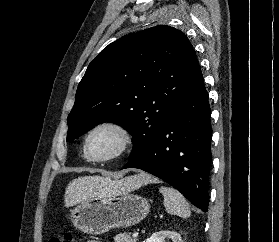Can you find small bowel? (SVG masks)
<instances>
[{
	"instance_id": "small-bowel-1",
	"label": "small bowel",
	"mask_w": 279,
	"mask_h": 242,
	"mask_svg": "<svg viewBox=\"0 0 279 242\" xmlns=\"http://www.w3.org/2000/svg\"><path fill=\"white\" fill-rule=\"evenodd\" d=\"M88 242H100V241H97V240H90Z\"/></svg>"
}]
</instances>
